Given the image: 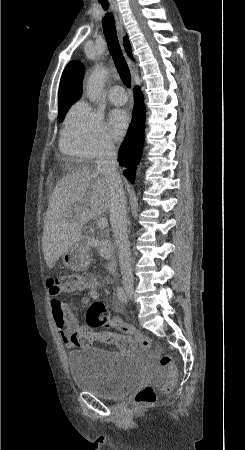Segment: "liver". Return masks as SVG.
I'll return each instance as SVG.
<instances>
[{"instance_id":"obj_1","label":"liver","mask_w":245,"mask_h":450,"mask_svg":"<svg viewBox=\"0 0 245 450\" xmlns=\"http://www.w3.org/2000/svg\"><path fill=\"white\" fill-rule=\"evenodd\" d=\"M110 203V189L97 170L77 169L57 182L49 199L42 236L49 268L80 239L83 224L100 217L110 209Z\"/></svg>"}]
</instances>
